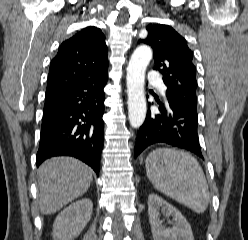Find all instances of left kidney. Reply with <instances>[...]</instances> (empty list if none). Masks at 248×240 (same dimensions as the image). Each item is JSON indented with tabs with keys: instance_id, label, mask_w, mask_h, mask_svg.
I'll list each match as a JSON object with an SVG mask.
<instances>
[{
	"instance_id": "1",
	"label": "left kidney",
	"mask_w": 248,
	"mask_h": 240,
	"mask_svg": "<svg viewBox=\"0 0 248 240\" xmlns=\"http://www.w3.org/2000/svg\"><path fill=\"white\" fill-rule=\"evenodd\" d=\"M148 214L154 240H194L191 226L182 213L156 194L148 197ZM160 214L173 217L171 228L163 225Z\"/></svg>"
}]
</instances>
